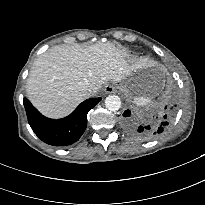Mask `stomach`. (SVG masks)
Wrapping results in <instances>:
<instances>
[{
    "label": "stomach",
    "instance_id": "1",
    "mask_svg": "<svg viewBox=\"0 0 205 205\" xmlns=\"http://www.w3.org/2000/svg\"><path fill=\"white\" fill-rule=\"evenodd\" d=\"M149 70V66L134 70L121 83L120 88L128 94L144 96L156 95L160 89V83L149 77Z\"/></svg>",
    "mask_w": 205,
    "mask_h": 205
}]
</instances>
